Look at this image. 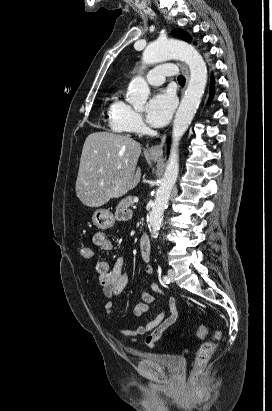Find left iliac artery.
<instances>
[{"mask_svg":"<svg viewBox=\"0 0 272 411\" xmlns=\"http://www.w3.org/2000/svg\"><path fill=\"white\" fill-rule=\"evenodd\" d=\"M163 282L166 283V284H169L170 283V278L167 277V276H164L163 277Z\"/></svg>","mask_w":272,"mask_h":411,"instance_id":"44dca946","label":"left iliac artery"}]
</instances>
